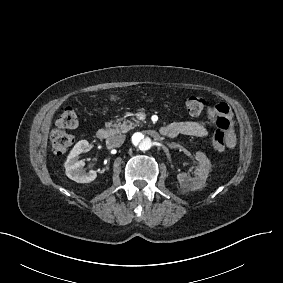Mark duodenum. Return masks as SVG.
I'll use <instances>...</instances> for the list:
<instances>
[{
	"label": "duodenum",
	"mask_w": 283,
	"mask_h": 283,
	"mask_svg": "<svg viewBox=\"0 0 283 283\" xmlns=\"http://www.w3.org/2000/svg\"><path fill=\"white\" fill-rule=\"evenodd\" d=\"M110 131L109 129L105 128V127H101L97 130L96 132V137L99 140H105L107 138H109L110 136ZM158 134L161 136H165V137H170L171 136V132L168 130V128L166 127H162L158 130Z\"/></svg>",
	"instance_id": "410a0bca"
}]
</instances>
